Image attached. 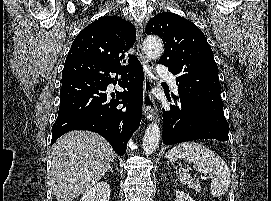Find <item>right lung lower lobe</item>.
Segmentation results:
<instances>
[{
    "mask_svg": "<svg viewBox=\"0 0 271 201\" xmlns=\"http://www.w3.org/2000/svg\"><path fill=\"white\" fill-rule=\"evenodd\" d=\"M115 74L121 75V79ZM117 82L124 92H116V98L110 100L107 86ZM142 85L143 69L139 61L109 66L84 57L66 59L51 143L66 132L88 130L103 136L117 154H125L126 144L141 121Z\"/></svg>",
    "mask_w": 271,
    "mask_h": 201,
    "instance_id": "1",
    "label": "right lung lower lobe"
}]
</instances>
